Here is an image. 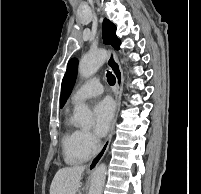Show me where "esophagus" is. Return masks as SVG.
Listing matches in <instances>:
<instances>
[{
    "label": "esophagus",
    "instance_id": "1",
    "mask_svg": "<svg viewBox=\"0 0 201 194\" xmlns=\"http://www.w3.org/2000/svg\"><path fill=\"white\" fill-rule=\"evenodd\" d=\"M107 65H108L109 69L113 72V74L115 75V78H116V85H115V91H114L115 103H116L115 113H114V117H113V121L111 124V128H110L108 137L106 138L105 142L103 143L99 153L87 165L88 170H94L99 165V163L103 159L104 155L106 154V152L109 148L113 133H114V129H115V125H116V121H117V117H118V112H119L120 104H121V96H122V91H123V80H124L123 72H122L121 66L116 58V54L111 48H108Z\"/></svg>",
    "mask_w": 201,
    "mask_h": 194
}]
</instances>
